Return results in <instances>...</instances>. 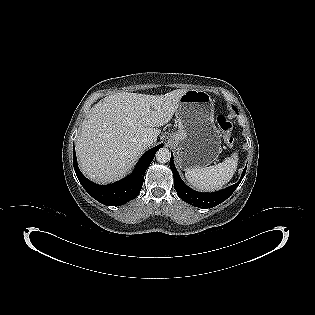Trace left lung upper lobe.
Instances as JSON below:
<instances>
[{"instance_id": "left-lung-upper-lobe-1", "label": "left lung upper lobe", "mask_w": 315, "mask_h": 315, "mask_svg": "<svg viewBox=\"0 0 315 315\" xmlns=\"http://www.w3.org/2000/svg\"><path fill=\"white\" fill-rule=\"evenodd\" d=\"M234 110L237 111V109L233 106Z\"/></svg>"}]
</instances>
